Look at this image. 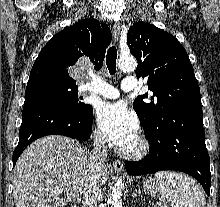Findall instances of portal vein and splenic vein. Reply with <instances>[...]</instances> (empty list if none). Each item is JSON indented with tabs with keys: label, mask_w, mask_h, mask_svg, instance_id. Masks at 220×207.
Listing matches in <instances>:
<instances>
[{
	"label": "portal vein and splenic vein",
	"mask_w": 220,
	"mask_h": 207,
	"mask_svg": "<svg viewBox=\"0 0 220 207\" xmlns=\"http://www.w3.org/2000/svg\"><path fill=\"white\" fill-rule=\"evenodd\" d=\"M62 192H63V189L57 188L56 193H62Z\"/></svg>",
	"instance_id": "portal-vein-and-splenic-vein-1"
}]
</instances>
